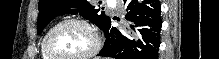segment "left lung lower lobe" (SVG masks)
Masks as SVG:
<instances>
[{"mask_svg":"<svg viewBox=\"0 0 219 59\" xmlns=\"http://www.w3.org/2000/svg\"><path fill=\"white\" fill-rule=\"evenodd\" d=\"M127 22L121 30L109 19L102 30L106 41L98 56L115 59H158L161 6L158 0H123Z\"/></svg>","mask_w":219,"mask_h":59,"instance_id":"1","label":"left lung lower lobe"}]
</instances>
